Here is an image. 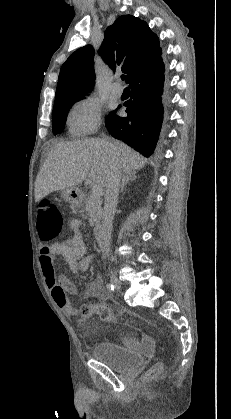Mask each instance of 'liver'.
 I'll list each match as a JSON object with an SVG mask.
<instances>
[{
	"instance_id": "liver-1",
	"label": "liver",
	"mask_w": 231,
	"mask_h": 419,
	"mask_svg": "<svg viewBox=\"0 0 231 419\" xmlns=\"http://www.w3.org/2000/svg\"><path fill=\"white\" fill-rule=\"evenodd\" d=\"M123 172L144 167L146 159L125 143L110 139H85L56 144L49 152L35 182V201L50 193L86 183L105 187L112 163Z\"/></svg>"
}]
</instances>
